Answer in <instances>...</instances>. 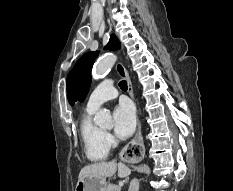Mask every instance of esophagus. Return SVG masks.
<instances>
[{"label":"esophagus","instance_id":"esophagus-1","mask_svg":"<svg viewBox=\"0 0 233 191\" xmlns=\"http://www.w3.org/2000/svg\"><path fill=\"white\" fill-rule=\"evenodd\" d=\"M116 71L122 78L126 80L128 86V93L131 99L135 101L132 83L129 74L121 62H118L116 64ZM144 155L145 152H144L143 136L141 132V123L140 120L138 119L136 134L133 137V139L121 151V157L124 158V162H127L129 164H136V162H139L138 156H144Z\"/></svg>","mask_w":233,"mask_h":191}]
</instances>
